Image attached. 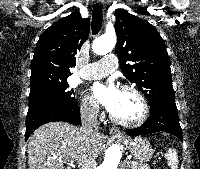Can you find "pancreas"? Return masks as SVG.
<instances>
[{
    "instance_id": "pancreas-1",
    "label": "pancreas",
    "mask_w": 200,
    "mask_h": 169,
    "mask_svg": "<svg viewBox=\"0 0 200 169\" xmlns=\"http://www.w3.org/2000/svg\"><path fill=\"white\" fill-rule=\"evenodd\" d=\"M132 169H151L148 164H142L136 161L130 163Z\"/></svg>"
}]
</instances>
